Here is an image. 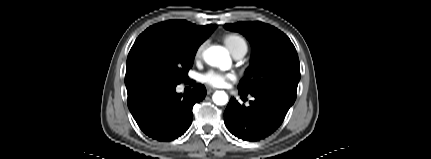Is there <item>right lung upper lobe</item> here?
Masks as SVG:
<instances>
[{"label": "right lung upper lobe", "instance_id": "cb5924a9", "mask_svg": "<svg viewBox=\"0 0 431 159\" xmlns=\"http://www.w3.org/2000/svg\"><path fill=\"white\" fill-rule=\"evenodd\" d=\"M216 25L197 26L185 20H169L150 26L141 35L156 34L175 39L181 43L200 46L214 31ZM127 93L139 86L126 82Z\"/></svg>", "mask_w": 431, "mask_h": 159}]
</instances>
